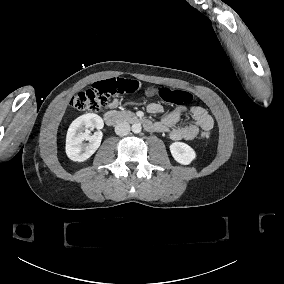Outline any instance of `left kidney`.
I'll return each mask as SVG.
<instances>
[{
    "instance_id": "5707ae66",
    "label": "left kidney",
    "mask_w": 284,
    "mask_h": 284,
    "mask_svg": "<svg viewBox=\"0 0 284 284\" xmlns=\"http://www.w3.org/2000/svg\"><path fill=\"white\" fill-rule=\"evenodd\" d=\"M173 158L182 165H188L195 159V151L183 142H174L170 145Z\"/></svg>"
}]
</instances>
